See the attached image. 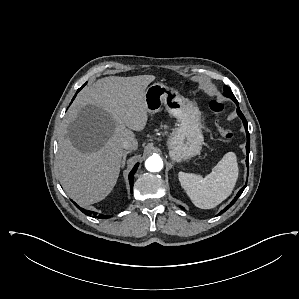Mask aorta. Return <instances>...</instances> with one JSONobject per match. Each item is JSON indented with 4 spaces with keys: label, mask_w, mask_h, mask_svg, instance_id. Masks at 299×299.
<instances>
[{
    "label": "aorta",
    "mask_w": 299,
    "mask_h": 299,
    "mask_svg": "<svg viewBox=\"0 0 299 299\" xmlns=\"http://www.w3.org/2000/svg\"><path fill=\"white\" fill-rule=\"evenodd\" d=\"M145 168L150 172H159L163 168V160L158 155H152L145 161Z\"/></svg>",
    "instance_id": "762f6f07"
}]
</instances>
